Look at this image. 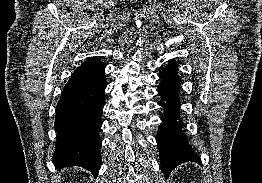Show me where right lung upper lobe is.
<instances>
[{
	"label": "right lung upper lobe",
	"instance_id": "right-lung-upper-lobe-1",
	"mask_svg": "<svg viewBox=\"0 0 262 183\" xmlns=\"http://www.w3.org/2000/svg\"><path fill=\"white\" fill-rule=\"evenodd\" d=\"M87 61H99V59L97 57H91Z\"/></svg>",
	"mask_w": 262,
	"mask_h": 183
}]
</instances>
